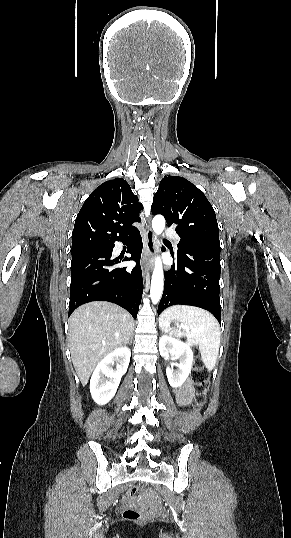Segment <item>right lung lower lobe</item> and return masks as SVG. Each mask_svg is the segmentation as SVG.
I'll list each match as a JSON object with an SVG mask.
<instances>
[{
    "mask_svg": "<svg viewBox=\"0 0 291 538\" xmlns=\"http://www.w3.org/2000/svg\"><path fill=\"white\" fill-rule=\"evenodd\" d=\"M118 241L129 243L131 257L123 261L135 260L137 264L132 270L115 268L120 260L112 257L114 243L108 248L72 256L69 315L82 304L109 301L128 310L136 319L143 291L142 239L137 229Z\"/></svg>",
    "mask_w": 291,
    "mask_h": 538,
    "instance_id": "1",
    "label": "right lung lower lobe"
}]
</instances>
